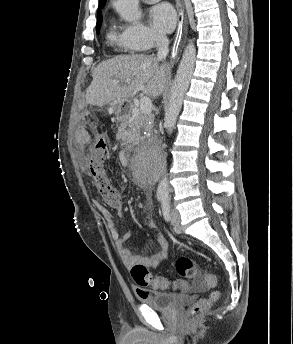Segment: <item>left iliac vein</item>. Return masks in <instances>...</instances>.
Returning a JSON list of instances; mask_svg holds the SVG:
<instances>
[{
	"label": "left iliac vein",
	"instance_id": "1",
	"mask_svg": "<svg viewBox=\"0 0 293 344\" xmlns=\"http://www.w3.org/2000/svg\"><path fill=\"white\" fill-rule=\"evenodd\" d=\"M181 219L178 210L173 209L171 211V223L174 227L176 233L180 234L182 232Z\"/></svg>",
	"mask_w": 293,
	"mask_h": 344
}]
</instances>
